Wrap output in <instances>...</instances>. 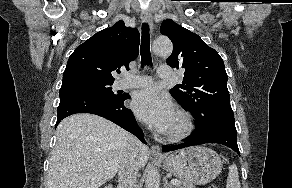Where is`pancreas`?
<instances>
[{
    "mask_svg": "<svg viewBox=\"0 0 292 188\" xmlns=\"http://www.w3.org/2000/svg\"><path fill=\"white\" fill-rule=\"evenodd\" d=\"M175 188H194L193 184L182 181L180 185H176Z\"/></svg>",
    "mask_w": 292,
    "mask_h": 188,
    "instance_id": "pancreas-1",
    "label": "pancreas"
}]
</instances>
